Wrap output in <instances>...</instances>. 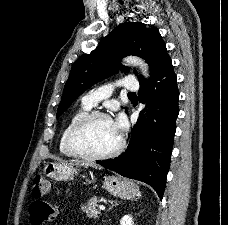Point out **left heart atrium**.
Here are the masks:
<instances>
[{
  "label": "left heart atrium",
  "mask_w": 228,
  "mask_h": 225,
  "mask_svg": "<svg viewBox=\"0 0 228 225\" xmlns=\"http://www.w3.org/2000/svg\"><path fill=\"white\" fill-rule=\"evenodd\" d=\"M115 132L120 136L124 130L126 123L122 115H119L115 121H112Z\"/></svg>",
  "instance_id": "1"
}]
</instances>
